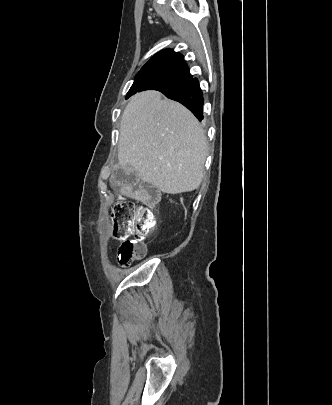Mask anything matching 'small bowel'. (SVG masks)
I'll return each mask as SVG.
<instances>
[{"label":"small bowel","instance_id":"small-bowel-1","mask_svg":"<svg viewBox=\"0 0 332 405\" xmlns=\"http://www.w3.org/2000/svg\"><path fill=\"white\" fill-rule=\"evenodd\" d=\"M117 167L111 173L110 186H142L140 172H130L129 168H119V165Z\"/></svg>","mask_w":332,"mask_h":405}]
</instances>
